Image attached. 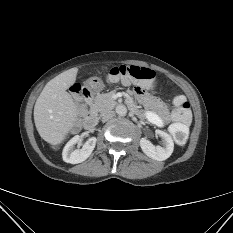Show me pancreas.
Here are the masks:
<instances>
[{
	"instance_id": "cf45deb5",
	"label": "pancreas",
	"mask_w": 233,
	"mask_h": 233,
	"mask_svg": "<svg viewBox=\"0 0 233 233\" xmlns=\"http://www.w3.org/2000/svg\"><path fill=\"white\" fill-rule=\"evenodd\" d=\"M116 91H111L109 93L99 94L95 97L94 104L91 106V112L95 115H103L106 111L112 110L117 102L113 99V95ZM140 118H143L140 113H138Z\"/></svg>"
}]
</instances>
